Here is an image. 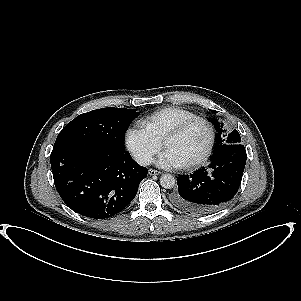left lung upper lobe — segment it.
Wrapping results in <instances>:
<instances>
[{"label": "left lung upper lobe", "instance_id": "1", "mask_svg": "<svg viewBox=\"0 0 301 301\" xmlns=\"http://www.w3.org/2000/svg\"><path fill=\"white\" fill-rule=\"evenodd\" d=\"M213 113H216L215 110L212 111ZM209 121L213 122L215 129L217 131L216 135V144L214 147V153H217L224 149L228 145L232 144H240L241 138L238 133V131L235 129L230 134H226L225 130L223 129V124H220L217 120L214 118L209 119Z\"/></svg>", "mask_w": 301, "mask_h": 301}]
</instances>
